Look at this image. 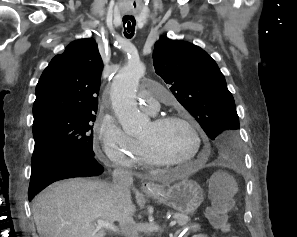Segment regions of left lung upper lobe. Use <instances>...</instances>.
<instances>
[{
    "label": "left lung upper lobe",
    "instance_id": "left-lung-upper-lobe-1",
    "mask_svg": "<svg viewBox=\"0 0 297 237\" xmlns=\"http://www.w3.org/2000/svg\"><path fill=\"white\" fill-rule=\"evenodd\" d=\"M153 64L179 103L213 141L217 156L240 158L234 98L211 56L194 44L161 37L154 46Z\"/></svg>",
    "mask_w": 297,
    "mask_h": 237
}]
</instances>
